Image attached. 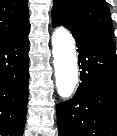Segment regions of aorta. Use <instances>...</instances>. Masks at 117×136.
Segmentation results:
<instances>
[{"label":"aorta","instance_id":"1","mask_svg":"<svg viewBox=\"0 0 117 136\" xmlns=\"http://www.w3.org/2000/svg\"><path fill=\"white\" fill-rule=\"evenodd\" d=\"M52 53L57 91L60 97L72 96L78 82L75 40L64 27H57L52 34Z\"/></svg>","mask_w":117,"mask_h":136}]
</instances>
